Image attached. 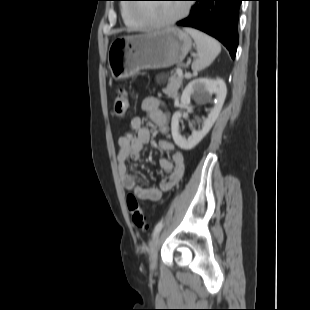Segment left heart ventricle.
<instances>
[{"label": "left heart ventricle", "instance_id": "obj_1", "mask_svg": "<svg viewBox=\"0 0 310 310\" xmlns=\"http://www.w3.org/2000/svg\"><path fill=\"white\" fill-rule=\"evenodd\" d=\"M182 8L179 4L157 3L142 6L137 9V13L152 20L164 21L177 16Z\"/></svg>", "mask_w": 310, "mask_h": 310}]
</instances>
